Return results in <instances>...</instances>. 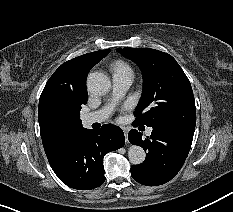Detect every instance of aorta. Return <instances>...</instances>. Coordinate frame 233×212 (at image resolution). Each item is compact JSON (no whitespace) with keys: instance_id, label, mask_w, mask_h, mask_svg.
<instances>
[{"instance_id":"762f6f07","label":"aorta","mask_w":233,"mask_h":212,"mask_svg":"<svg viewBox=\"0 0 233 212\" xmlns=\"http://www.w3.org/2000/svg\"><path fill=\"white\" fill-rule=\"evenodd\" d=\"M87 87L90 92L98 95L106 94L111 88V81L107 75L101 72H93L88 75ZM146 153L140 146L132 145L128 150V159L138 165L144 162Z\"/></svg>"}]
</instances>
